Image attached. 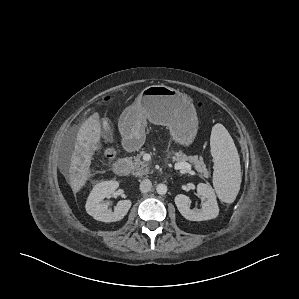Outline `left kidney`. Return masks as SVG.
<instances>
[{
	"label": "left kidney",
	"instance_id": "1",
	"mask_svg": "<svg viewBox=\"0 0 299 299\" xmlns=\"http://www.w3.org/2000/svg\"><path fill=\"white\" fill-rule=\"evenodd\" d=\"M197 194L205 200L202 204V209L199 211L190 209L191 200L188 196L178 194L175 197V204L181 215L191 221H204L216 218L219 214V207L213 188L208 184L199 183L197 185Z\"/></svg>",
	"mask_w": 299,
	"mask_h": 299
}]
</instances>
